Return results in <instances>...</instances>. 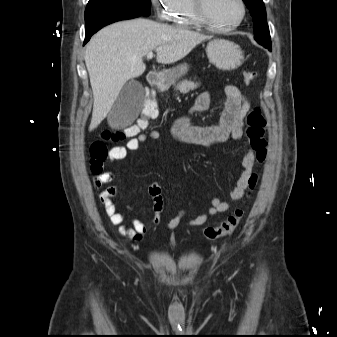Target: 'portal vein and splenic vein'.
I'll use <instances>...</instances> for the list:
<instances>
[{
  "label": "portal vein and splenic vein",
  "instance_id": "1",
  "mask_svg": "<svg viewBox=\"0 0 337 337\" xmlns=\"http://www.w3.org/2000/svg\"><path fill=\"white\" fill-rule=\"evenodd\" d=\"M153 52L151 51V52H149L148 54H147V58L148 59H152L153 58Z\"/></svg>",
  "mask_w": 337,
  "mask_h": 337
}]
</instances>
